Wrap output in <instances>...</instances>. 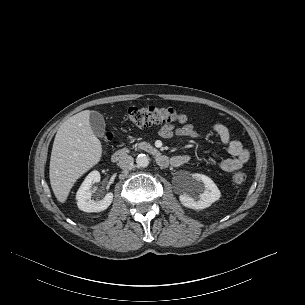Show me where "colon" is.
<instances>
[{
	"label": "colon",
	"instance_id": "obj_1",
	"mask_svg": "<svg viewBox=\"0 0 305 305\" xmlns=\"http://www.w3.org/2000/svg\"><path fill=\"white\" fill-rule=\"evenodd\" d=\"M127 118L130 122L139 127H146L155 124H184L191 120L187 115L178 112L172 106H134L127 111ZM110 140V136H107ZM246 180L244 173H236L233 181L241 184Z\"/></svg>",
	"mask_w": 305,
	"mask_h": 305
}]
</instances>
